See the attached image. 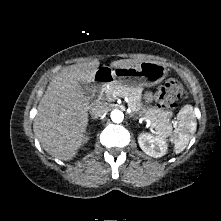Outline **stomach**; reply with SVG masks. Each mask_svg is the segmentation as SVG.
Instances as JSON below:
<instances>
[{
    "label": "stomach",
    "instance_id": "1",
    "mask_svg": "<svg viewBox=\"0 0 221 221\" xmlns=\"http://www.w3.org/2000/svg\"><path fill=\"white\" fill-rule=\"evenodd\" d=\"M165 64L156 61H143L131 67H117L112 72L116 83L128 88L152 87L161 83L167 76Z\"/></svg>",
    "mask_w": 221,
    "mask_h": 221
}]
</instances>
